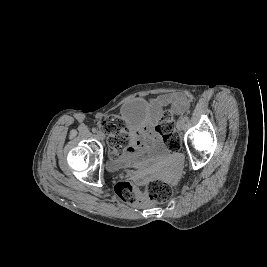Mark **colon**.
Returning <instances> with one entry per match:
<instances>
[{"label": "colon", "instance_id": "obj_1", "mask_svg": "<svg viewBox=\"0 0 267 267\" xmlns=\"http://www.w3.org/2000/svg\"><path fill=\"white\" fill-rule=\"evenodd\" d=\"M99 126L107 135L109 157H120L129 142L125 122L117 115H108L100 121ZM154 130L161 136L167 149H180L181 140L176 131L175 113L172 110H166L161 114ZM115 189L117 195L127 203L135 202L140 195L139 187L128 180L118 182ZM148 190L150 198L159 203L168 201L172 196V188L159 180L150 182Z\"/></svg>", "mask_w": 267, "mask_h": 267}]
</instances>
